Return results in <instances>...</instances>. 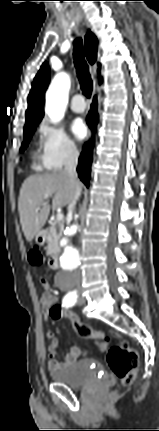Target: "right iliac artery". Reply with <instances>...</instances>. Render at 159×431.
Listing matches in <instances>:
<instances>
[{
	"label": "right iliac artery",
	"instance_id": "1",
	"mask_svg": "<svg viewBox=\"0 0 159 431\" xmlns=\"http://www.w3.org/2000/svg\"><path fill=\"white\" fill-rule=\"evenodd\" d=\"M76 301H77L76 291H72L67 293L63 298V305H65L66 307H71L76 303Z\"/></svg>",
	"mask_w": 159,
	"mask_h": 431
}]
</instances>
